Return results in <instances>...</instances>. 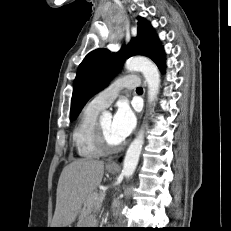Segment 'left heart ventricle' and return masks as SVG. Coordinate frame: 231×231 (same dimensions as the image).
<instances>
[{
  "label": "left heart ventricle",
  "mask_w": 231,
  "mask_h": 231,
  "mask_svg": "<svg viewBox=\"0 0 231 231\" xmlns=\"http://www.w3.org/2000/svg\"><path fill=\"white\" fill-rule=\"evenodd\" d=\"M101 127L103 129L104 135L106 137V140L111 145H117L120 142L115 137L112 131V120L111 119H105L100 122Z\"/></svg>",
  "instance_id": "obj_1"
}]
</instances>
